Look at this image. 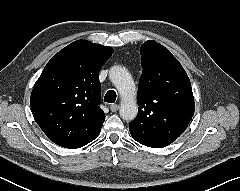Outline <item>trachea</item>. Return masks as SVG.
Masks as SVG:
<instances>
[{
  "label": "trachea",
  "mask_w": 240,
  "mask_h": 191,
  "mask_svg": "<svg viewBox=\"0 0 240 191\" xmlns=\"http://www.w3.org/2000/svg\"><path fill=\"white\" fill-rule=\"evenodd\" d=\"M115 100H116V92L114 90H109L104 97V101L107 103H114Z\"/></svg>",
  "instance_id": "3493384b"
}]
</instances>
